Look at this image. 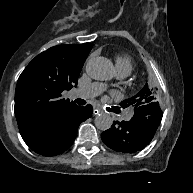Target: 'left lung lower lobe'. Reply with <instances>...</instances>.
<instances>
[{
  "label": "left lung lower lobe",
  "instance_id": "0a47b994",
  "mask_svg": "<svg viewBox=\"0 0 193 193\" xmlns=\"http://www.w3.org/2000/svg\"><path fill=\"white\" fill-rule=\"evenodd\" d=\"M161 118L162 112L157 102L142 105L135 109L130 121L114 122L101 138L115 151L134 153L150 143Z\"/></svg>",
  "mask_w": 193,
  "mask_h": 193
}]
</instances>
